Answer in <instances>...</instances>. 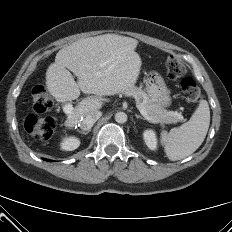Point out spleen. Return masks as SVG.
I'll return each instance as SVG.
<instances>
[{
  "instance_id": "1",
  "label": "spleen",
  "mask_w": 232,
  "mask_h": 232,
  "mask_svg": "<svg viewBox=\"0 0 232 232\" xmlns=\"http://www.w3.org/2000/svg\"><path fill=\"white\" fill-rule=\"evenodd\" d=\"M210 125V109L201 100L190 120L169 132H161V143L171 161L183 159L195 152L203 143Z\"/></svg>"
}]
</instances>
